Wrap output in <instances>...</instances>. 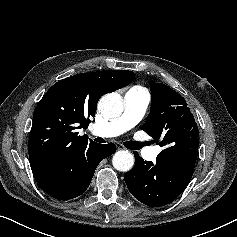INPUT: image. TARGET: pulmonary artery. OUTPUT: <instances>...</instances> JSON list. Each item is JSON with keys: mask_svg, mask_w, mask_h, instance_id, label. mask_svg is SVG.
<instances>
[{"mask_svg": "<svg viewBox=\"0 0 237 237\" xmlns=\"http://www.w3.org/2000/svg\"><path fill=\"white\" fill-rule=\"evenodd\" d=\"M150 103V96L146 92L130 89L124 97L123 113L105 125L94 126L92 133L100 137H114L133 128L144 116ZM160 147L146 148L142 155L149 160L156 158Z\"/></svg>", "mask_w": 237, "mask_h": 237, "instance_id": "pulmonary-artery-1", "label": "pulmonary artery"}]
</instances>
